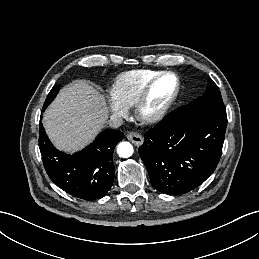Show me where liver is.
<instances>
[{
    "mask_svg": "<svg viewBox=\"0 0 259 259\" xmlns=\"http://www.w3.org/2000/svg\"><path fill=\"white\" fill-rule=\"evenodd\" d=\"M108 107L104 96L84 80L63 87L44 115L46 132L61 150L75 152L104 127Z\"/></svg>",
    "mask_w": 259,
    "mask_h": 259,
    "instance_id": "obj_1",
    "label": "liver"
}]
</instances>
